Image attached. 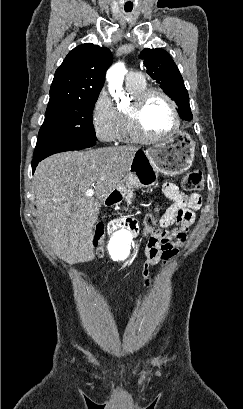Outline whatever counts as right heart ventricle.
Listing matches in <instances>:
<instances>
[{
  "instance_id": "e07e8e85",
  "label": "right heart ventricle",
  "mask_w": 243,
  "mask_h": 409,
  "mask_svg": "<svg viewBox=\"0 0 243 409\" xmlns=\"http://www.w3.org/2000/svg\"><path fill=\"white\" fill-rule=\"evenodd\" d=\"M126 88L128 92L135 97L139 93H141L143 90L146 89V83L145 81L141 84H126ZM119 113V133H118V138L117 140L120 142H132L135 141L133 138L129 127L127 123V119L125 116L124 111H118Z\"/></svg>"
}]
</instances>
